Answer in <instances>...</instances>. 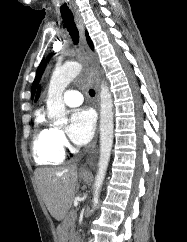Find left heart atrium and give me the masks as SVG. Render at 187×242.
Returning a JSON list of instances; mask_svg holds the SVG:
<instances>
[{
	"instance_id": "39dd6f15",
	"label": "left heart atrium",
	"mask_w": 187,
	"mask_h": 242,
	"mask_svg": "<svg viewBox=\"0 0 187 242\" xmlns=\"http://www.w3.org/2000/svg\"><path fill=\"white\" fill-rule=\"evenodd\" d=\"M95 115L87 108H77L71 112L67 133L70 139L78 145L88 143L94 133Z\"/></svg>"
}]
</instances>
